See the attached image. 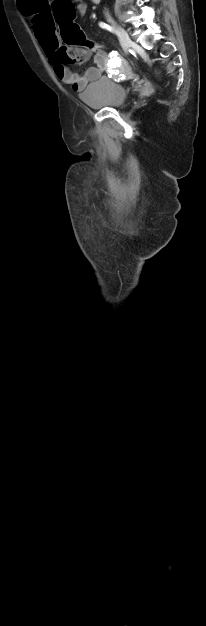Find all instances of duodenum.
I'll return each instance as SVG.
<instances>
[{"label":"duodenum","instance_id":"1","mask_svg":"<svg viewBox=\"0 0 206 626\" xmlns=\"http://www.w3.org/2000/svg\"><path fill=\"white\" fill-rule=\"evenodd\" d=\"M92 2H94V3H99V2H100V0H92Z\"/></svg>","mask_w":206,"mask_h":626}]
</instances>
